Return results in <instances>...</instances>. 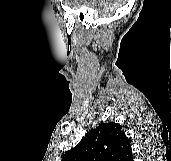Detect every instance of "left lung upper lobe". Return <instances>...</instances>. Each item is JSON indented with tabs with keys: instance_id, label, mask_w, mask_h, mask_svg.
Masks as SVG:
<instances>
[{
	"instance_id": "left-lung-upper-lobe-1",
	"label": "left lung upper lobe",
	"mask_w": 171,
	"mask_h": 161,
	"mask_svg": "<svg viewBox=\"0 0 171 161\" xmlns=\"http://www.w3.org/2000/svg\"><path fill=\"white\" fill-rule=\"evenodd\" d=\"M129 139L117 123H102L90 131L61 161H131Z\"/></svg>"
}]
</instances>
